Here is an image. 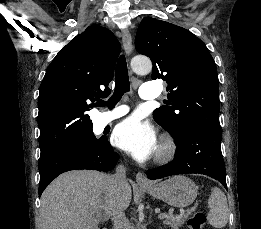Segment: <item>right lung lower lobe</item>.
Listing matches in <instances>:
<instances>
[{
	"mask_svg": "<svg viewBox=\"0 0 261 229\" xmlns=\"http://www.w3.org/2000/svg\"><path fill=\"white\" fill-rule=\"evenodd\" d=\"M118 158V154L113 151L107 139L92 148H61L41 156L39 196L61 173L76 169L109 171L114 168Z\"/></svg>",
	"mask_w": 261,
	"mask_h": 229,
	"instance_id": "98d812e1",
	"label": "right lung lower lobe"
}]
</instances>
